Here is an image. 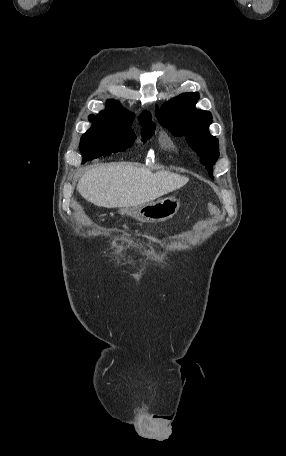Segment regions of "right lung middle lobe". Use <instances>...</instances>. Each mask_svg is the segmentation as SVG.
I'll return each instance as SVG.
<instances>
[{"label": "right lung middle lobe", "instance_id": "1", "mask_svg": "<svg viewBox=\"0 0 286 456\" xmlns=\"http://www.w3.org/2000/svg\"><path fill=\"white\" fill-rule=\"evenodd\" d=\"M92 127L81 137L80 151L83 163L100 156L126 150L134 143L136 136L131 130L133 121H124L107 115H90ZM143 126V141L154 134L155 124L147 120L140 122Z\"/></svg>", "mask_w": 286, "mask_h": 456}]
</instances>
